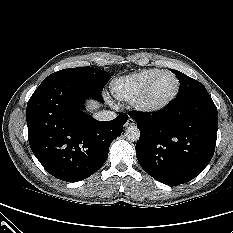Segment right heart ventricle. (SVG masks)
Instances as JSON below:
<instances>
[{
	"mask_svg": "<svg viewBox=\"0 0 233 233\" xmlns=\"http://www.w3.org/2000/svg\"><path fill=\"white\" fill-rule=\"evenodd\" d=\"M159 71L158 68H148L119 77L112 81L110 85L111 93L118 100L133 101L148 80Z\"/></svg>",
	"mask_w": 233,
	"mask_h": 233,
	"instance_id": "1",
	"label": "right heart ventricle"
}]
</instances>
